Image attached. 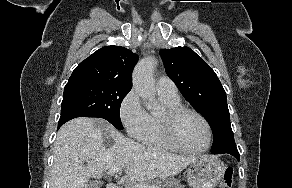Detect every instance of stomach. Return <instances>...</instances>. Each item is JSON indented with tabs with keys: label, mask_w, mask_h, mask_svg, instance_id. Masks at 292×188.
Here are the masks:
<instances>
[{
	"label": "stomach",
	"mask_w": 292,
	"mask_h": 188,
	"mask_svg": "<svg viewBox=\"0 0 292 188\" xmlns=\"http://www.w3.org/2000/svg\"><path fill=\"white\" fill-rule=\"evenodd\" d=\"M225 164L217 157L201 155L188 165L187 181L192 188H214L224 176Z\"/></svg>",
	"instance_id": "obj_1"
}]
</instances>
